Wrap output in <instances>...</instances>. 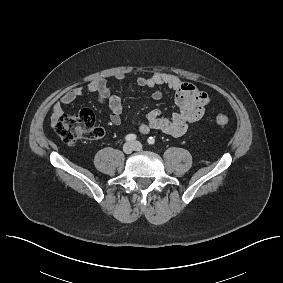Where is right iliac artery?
<instances>
[{
	"label": "right iliac artery",
	"instance_id": "obj_1",
	"mask_svg": "<svg viewBox=\"0 0 283 283\" xmlns=\"http://www.w3.org/2000/svg\"><path fill=\"white\" fill-rule=\"evenodd\" d=\"M136 139V135L134 134H128L126 137H125V140L126 141H133Z\"/></svg>",
	"mask_w": 283,
	"mask_h": 283
}]
</instances>
